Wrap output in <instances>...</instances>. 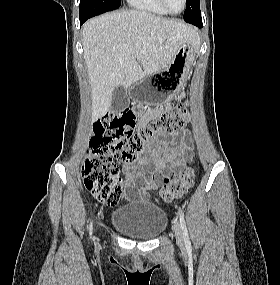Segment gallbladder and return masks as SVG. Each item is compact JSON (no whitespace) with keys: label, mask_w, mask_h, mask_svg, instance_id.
<instances>
[{"label":"gallbladder","mask_w":280,"mask_h":285,"mask_svg":"<svg viewBox=\"0 0 280 285\" xmlns=\"http://www.w3.org/2000/svg\"><path fill=\"white\" fill-rule=\"evenodd\" d=\"M130 100L124 87H115L112 93L111 110L121 112L129 106Z\"/></svg>","instance_id":"obj_1"}]
</instances>
